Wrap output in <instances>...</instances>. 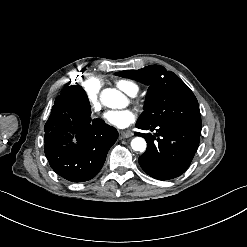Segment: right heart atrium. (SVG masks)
Here are the masks:
<instances>
[{"label":"right heart atrium","instance_id":"right-heart-atrium-1","mask_svg":"<svg viewBox=\"0 0 247 247\" xmlns=\"http://www.w3.org/2000/svg\"><path fill=\"white\" fill-rule=\"evenodd\" d=\"M84 88L92 93L89 95L90 111L93 114H100L103 111L104 93L101 89V81L98 78L87 77L84 80Z\"/></svg>","mask_w":247,"mask_h":247}]
</instances>
